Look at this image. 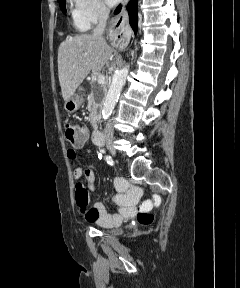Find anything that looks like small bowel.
Returning a JSON list of instances; mask_svg holds the SVG:
<instances>
[{"label": "small bowel", "mask_w": 240, "mask_h": 288, "mask_svg": "<svg viewBox=\"0 0 240 288\" xmlns=\"http://www.w3.org/2000/svg\"><path fill=\"white\" fill-rule=\"evenodd\" d=\"M85 134L86 141L88 137V131L86 129ZM85 141L74 145V148H70L67 151L69 161L74 164L73 178L78 180L84 176L88 181V187L80 182L75 186V199L79 212L87 222L96 223L107 228L117 227L125 218L133 216L136 211V205L138 203L140 194L137 189L129 185L126 181L116 179L114 185L117 190V194L114 196V201L119 206V213H108L104 205L100 202L90 206L89 190L94 189L95 174L91 169H82L75 164L76 149H82ZM86 152L89 153L90 150H86Z\"/></svg>", "instance_id": "1"}]
</instances>
